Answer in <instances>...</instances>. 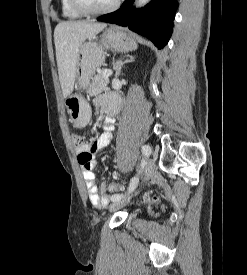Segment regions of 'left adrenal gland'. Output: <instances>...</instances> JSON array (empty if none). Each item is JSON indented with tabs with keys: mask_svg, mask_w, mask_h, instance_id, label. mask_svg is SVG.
I'll return each mask as SVG.
<instances>
[{
	"mask_svg": "<svg viewBox=\"0 0 247 275\" xmlns=\"http://www.w3.org/2000/svg\"><path fill=\"white\" fill-rule=\"evenodd\" d=\"M134 57L132 56H127V59L125 61H122V59L117 60L116 62L113 63V69L115 70V76L119 77L121 73L122 66L126 63L133 62Z\"/></svg>",
	"mask_w": 247,
	"mask_h": 275,
	"instance_id": "left-adrenal-gland-1",
	"label": "left adrenal gland"
}]
</instances>
